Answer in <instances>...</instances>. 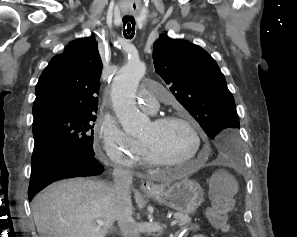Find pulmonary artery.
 <instances>
[{"instance_id":"1","label":"pulmonary artery","mask_w":297,"mask_h":237,"mask_svg":"<svg viewBox=\"0 0 297 237\" xmlns=\"http://www.w3.org/2000/svg\"><path fill=\"white\" fill-rule=\"evenodd\" d=\"M162 92L163 90L155 86L146 85L142 87L138 94L139 105L150 111H154L158 107L159 101L164 99Z\"/></svg>"}]
</instances>
